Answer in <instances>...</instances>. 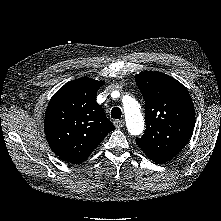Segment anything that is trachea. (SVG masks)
<instances>
[{
    "mask_svg": "<svg viewBox=\"0 0 221 221\" xmlns=\"http://www.w3.org/2000/svg\"><path fill=\"white\" fill-rule=\"evenodd\" d=\"M111 118H115V119L121 118V109L119 107H114L111 110Z\"/></svg>",
    "mask_w": 221,
    "mask_h": 221,
    "instance_id": "1",
    "label": "trachea"
}]
</instances>
